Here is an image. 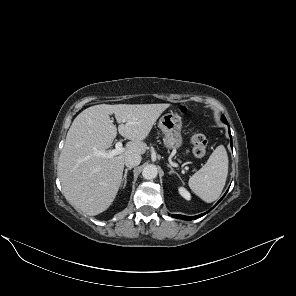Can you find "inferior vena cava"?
<instances>
[{
	"label": "inferior vena cava",
	"mask_w": 296,
	"mask_h": 296,
	"mask_svg": "<svg viewBox=\"0 0 296 296\" xmlns=\"http://www.w3.org/2000/svg\"><path fill=\"white\" fill-rule=\"evenodd\" d=\"M141 162V156L139 154H131L125 158V165L129 168L139 165Z\"/></svg>",
	"instance_id": "obj_1"
}]
</instances>
